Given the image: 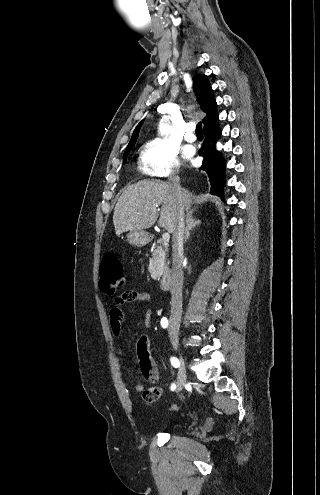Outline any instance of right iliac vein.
<instances>
[{
	"mask_svg": "<svg viewBox=\"0 0 320 495\" xmlns=\"http://www.w3.org/2000/svg\"><path fill=\"white\" fill-rule=\"evenodd\" d=\"M171 341H172V344H173V347L174 349L179 353L180 355V367H179V370H178V374H177V391H181L183 389V386L185 385V382H186V370H185V362H184V359H183V356L180 352V346H179V338H178V335L177 333L175 332H172L171 333Z\"/></svg>",
	"mask_w": 320,
	"mask_h": 495,
	"instance_id": "obj_1",
	"label": "right iliac vein"
}]
</instances>
